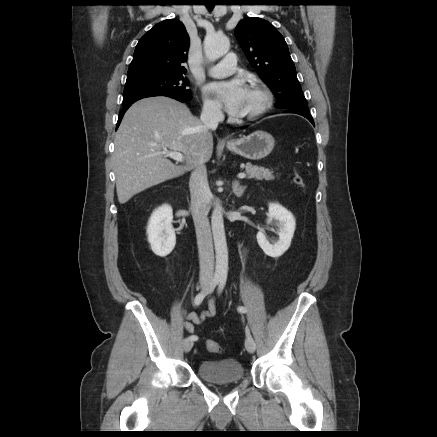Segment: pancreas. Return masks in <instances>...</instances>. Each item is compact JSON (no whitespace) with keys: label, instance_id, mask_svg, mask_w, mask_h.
I'll return each mask as SVG.
<instances>
[{"label":"pancreas","instance_id":"1","mask_svg":"<svg viewBox=\"0 0 437 437\" xmlns=\"http://www.w3.org/2000/svg\"><path fill=\"white\" fill-rule=\"evenodd\" d=\"M246 173L249 179H257V180H274L275 176L273 175V171L269 169H265L264 167H259L252 165L250 163L246 164L245 167Z\"/></svg>","mask_w":437,"mask_h":437}]
</instances>
